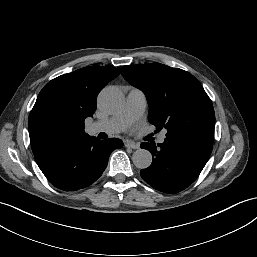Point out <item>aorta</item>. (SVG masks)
<instances>
[{"label":"aorta","mask_w":257,"mask_h":257,"mask_svg":"<svg viewBox=\"0 0 257 257\" xmlns=\"http://www.w3.org/2000/svg\"><path fill=\"white\" fill-rule=\"evenodd\" d=\"M124 102L123 95L118 88L106 87L98 97L100 107L107 112L118 110ZM133 164L139 169L148 168L152 163V155L146 149H138L132 155Z\"/></svg>","instance_id":"762f6f07"}]
</instances>
